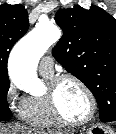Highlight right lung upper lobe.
<instances>
[{
	"label": "right lung upper lobe",
	"instance_id": "1",
	"mask_svg": "<svg viewBox=\"0 0 116 134\" xmlns=\"http://www.w3.org/2000/svg\"><path fill=\"white\" fill-rule=\"evenodd\" d=\"M28 28V13L21 4L0 6V77H8L9 53Z\"/></svg>",
	"mask_w": 116,
	"mask_h": 134
}]
</instances>
